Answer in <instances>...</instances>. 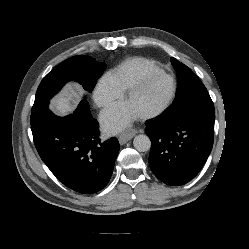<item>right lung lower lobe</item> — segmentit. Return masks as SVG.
Segmentation results:
<instances>
[{
  "label": "right lung lower lobe",
  "mask_w": 249,
  "mask_h": 249,
  "mask_svg": "<svg viewBox=\"0 0 249 249\" xmlns=\"http://www.w3.org/2000/svg\"><path fill=\"white\" fill-rule=\"evenodd\" d=\"M31 130L41 159L64 185L91 194L108 184L119 143L116 138L101 142L87 100L65 117L46 111Z\"/></svg>",
  "instance_id": "98d812e1"
}]
</instances>
